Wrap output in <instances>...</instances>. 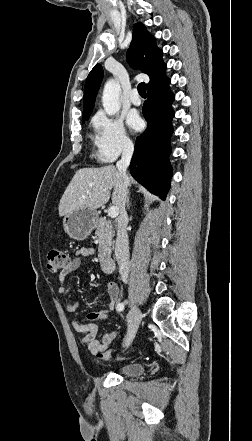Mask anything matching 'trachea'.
<instances>
[{"mask_svg":"<svg viewBox=\"0 0 252 441\" xmlns=\"http://www.w3.org/2000/svg\"><path fill=\"white\" fill-rule=\"evenodd\" d=\"M137 90L142 97L146 96V86L144 82L138 85Z\"/></svg>","mask_w":252,"mask_h":441,"instance_id":"1","label":"trachea"}]
</instances>
